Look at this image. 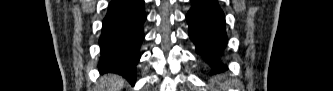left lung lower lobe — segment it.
Masks as SVG:
<instances>
[{"instance_id":"left-lung-lower-lobe-1","label":"left lung lower lobe","mask_w":333,"mask_h":91,"mask_svg":"<svg viewBox=\"0 0 333 91\" xmlns=\"http://www.w3.org/2000/svg\"><path fill=\"white\" fill-rule=\"evenodd\" d=\"M192 7L186 15L189 24V37L197 52L215 72L226 66L218 56L227 43L225 16L216 0H191Z\"/></svg>"}]
</instances>
